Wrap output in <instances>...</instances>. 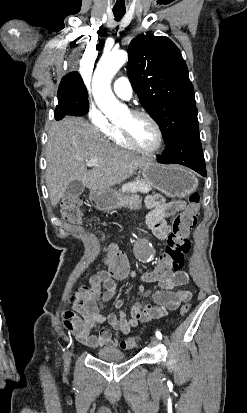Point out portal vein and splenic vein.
Segmentation results:
<instances>
[{
	"mask_svg": "<svg viewBox=\"0 0 247 413\" xmlns=\"http://www.w3.org/2000/svg\"><path fill=\"white\" fill-rule=\"evenodd\" d=\"M87 166H97L98 158H90V160H86Z\"/></svg>",
	"mask_w": 247,
	"mask_h": 413,
	"instance_id": "1",
	"label": "portal vein and splenic vein"
}]
</instances>
